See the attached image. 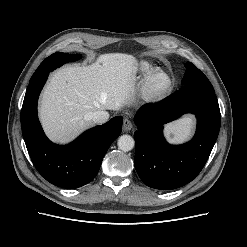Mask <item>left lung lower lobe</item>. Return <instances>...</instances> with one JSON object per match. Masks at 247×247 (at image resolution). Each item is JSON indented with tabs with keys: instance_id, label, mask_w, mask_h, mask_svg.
Returning <instances> with one entry per match:
<instances>
[{
	"instance_id": "0a47b994",
	"label": "left lung lower lobe",
	"mask_w": 247,
	"mask_h": 247,
	"mask_svg": "<svg viewBox=\"0 0 247 247\" xmlns=\"http://www.w3.org/2000/svg\"><path fill=\"white\" fill-rule=\"evenodd\" d=\"M184 113L196 115V133L188 143L170 145L163 137V125ZM134 122L138 129L135 168L140 179L151 188L172 190L191 182L203 169L216 142L221 115L213 87L190 84L159 105L139 109Z\"/></svg>"
}]
</instances>
